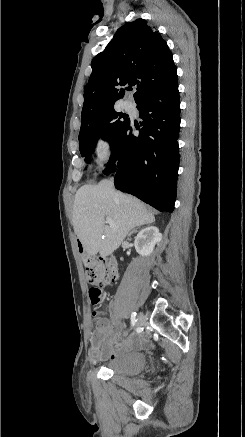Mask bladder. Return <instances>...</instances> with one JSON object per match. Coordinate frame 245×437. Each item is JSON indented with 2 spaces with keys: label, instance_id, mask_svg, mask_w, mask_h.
Listing matches in <instances>:
<instances>
[{
  "label": "bladder",
  "instance_id": "bladder-1",
  "mask_svg": "<svg viewBox=\"0 0 245 437\" xmlns=\"http://www.w3.org/2000/svg\"><path fill=\"white\" fill-rule=\"evenodd\" d=\"M146 355L142 352L123 351L106 364V368L115 374L133 376L143 370Z\"/></svg>",
  "mask_w": 245,
  "mask_h": 437
}]
</instances>
